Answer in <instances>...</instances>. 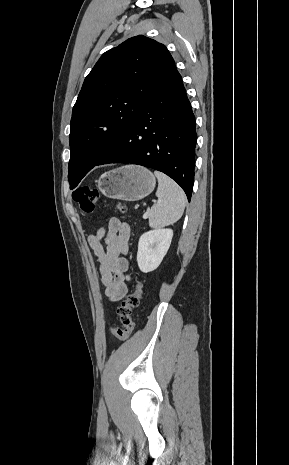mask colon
Listing matches in <instances>:
<instances>
[{
    "mask_svg": "<svg viewBox=\"0 0 289 465\" xmlns=\"http://www.w3.org/2000/svg\"><path fill=\"white\" fill-rule=\"evenodd\" d=\"M99 191L90 186H83L72 192L73 200L78 204L80 211L84 215L91 214L95 210L96 203L99 199ZM117 210L121 215H125L126 207L117 204ZM142 297V283L135 281L133 291L121 302L117 313L122 327H110L111 333L120 340H126L130 337L134 329L132 313L140 304Z\"/></svg>",
    "mask_w": 289,
    "mask_h": 465,
    "instance_id": "colon-1",
    "label": "colon"
}]
</instances>
